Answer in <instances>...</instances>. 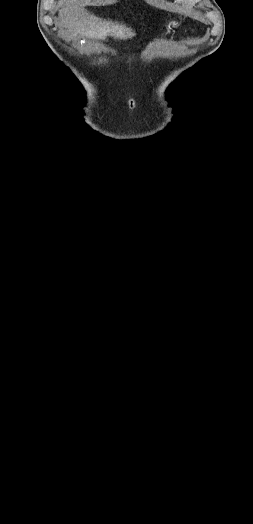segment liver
I'll list each match as a JSON object with an SVG mask.
<instances>
[{
    "label": "liver",
    "mask_w": 253,
    "mask_h": 524,
    "mask_svg": "<svg viewBox=\"0 0 253 524\" xmlns=\"http://www.w3.org/2000/svg\"><path fill=\"white\" fill-rule=\"evenodd\" d=\"M60 26L65 33L73 36L82 35L91 39L104 40L107 36L117 39H128L135 36L132 29L123 24L103 20L90 14L84 8V3L77 0H68L59 10Z\"/></svg>",
    "instance_id": "1"
}]
</instances>
